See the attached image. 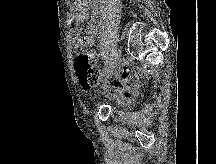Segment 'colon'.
I'll return each instance as SVG.
<instances>
[{"label":"colon","instance_id":"1","mask_svg":"<svg viewBox=\"0 0 216 164\" xmlns=\"http://www.w3.org/2000/svg\"><path fill=\"white\" fill-rule=\"evenodd\" d=\"M84 41L81 37L73 40V49L79 55L75 59V67L78 78L84 89H91L97 86L100 80V73L93 62L92 56L82 53Z\"/></svg>","mask_w":216,"mask_h":164}]
</instances>
